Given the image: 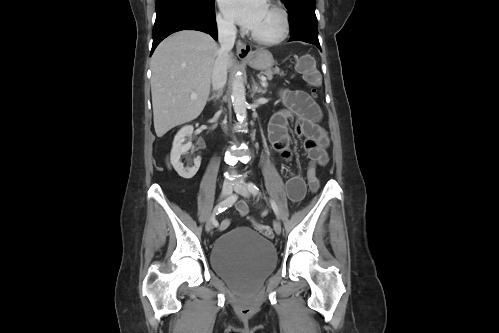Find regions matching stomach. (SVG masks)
Instances as JSON below:
<instances>
[{
  "instance_id": "stomach-1",
  "label": "stomach",
  "mask_w": 499,
  "mask_h": 333,
  "mask_svg": "<svg viewBox=\"0 0 499 333\" xmlns=\"http://www.w3.org/2000/svg\"><path fill=\"white\" fill-rule=\"evenodd\" d=\"M245 61L249 66L260 71L270 70L275 62L273 55L265 49L253 51L245 58Z\"/></svg>"
}]
</instances>
